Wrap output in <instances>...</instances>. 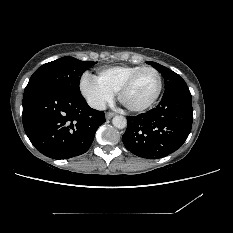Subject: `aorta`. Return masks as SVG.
Instances as JSON below:
<instances>
[{"instance_id":"1","label":"aorta","mask_w":233,"mask_h":233,"mask_svg":"<svg viewBox=\"0 0 233 233\" xmlns=\"http://www.w3.org/2000/svg\"><path fill=\"white\" fill-rule=\"evenodd\" d=\"M112 123L118 129H123L127 126V120L123 116H115L112 120Z\"/></svg>"}]
</instances>
